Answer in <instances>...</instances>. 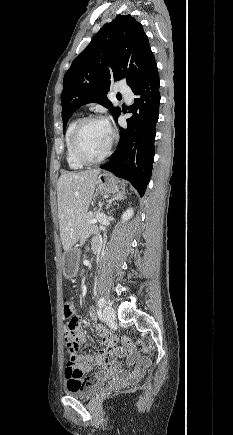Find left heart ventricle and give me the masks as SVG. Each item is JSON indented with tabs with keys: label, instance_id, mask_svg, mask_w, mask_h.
<instances>
[{
	"label": "left heart ventricle",
	"instance_id": "1",
	"mask_svg": "<svg viewBox=\"0 0 233 435\" xmlns=\"http://www.w3.org/2000/svg\"><path fill=\"white\" fill-rule=\"evenodd\" d=\"M109 127L104 122L88 123L80 134V143L85 153L91 158L101 156L110 140Z\"/></svg>",
	"mask_w": 233,
	"mask_h": 435
}]
</instances>
